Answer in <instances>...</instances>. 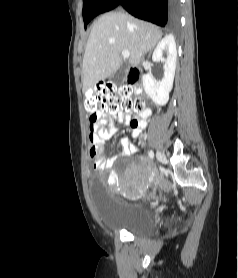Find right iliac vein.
<instances>
[{
	"label": "right iliac vein",
	"mask_w": 238,
	"mask_h": 278,
	"mask_svg": "<svg viewBox=\"0 0 238 278\" xmlns=\"http://www.w3.org/2000/svg\"><path fill=\"white\" fill-rule=\"evenodd\" d=\"M156 156L160 162H163L165 160V154L161 150H157Z\"/></svg>",
	"instance_id": "63e3f726"
}]
</instances>
